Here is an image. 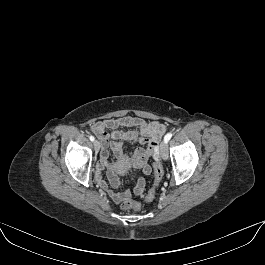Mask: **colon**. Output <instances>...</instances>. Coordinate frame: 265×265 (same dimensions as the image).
<instances>
[{
  "mask_svg": "<svg viewBox=\"0 0 265 265\" xmlns=\"http://www.w3.org/2000/svg\"><path fill=\"white\" fill-rule=\"evenodd\" d=\"M153 167H154V184L153 187L147 192V194L144 197L146 202H151L154 200L156 195V188L158 187L163 177V167L158 158L155 159ZM121 206L123 209L139 210L141 208V204L139 202L130 199L122 201Z\"/></svg>",
  "mask_w": 265,
  "mask_h": 265,
  "instance_id": "obj_1",
  "label": "colon"
}]
</instances>
